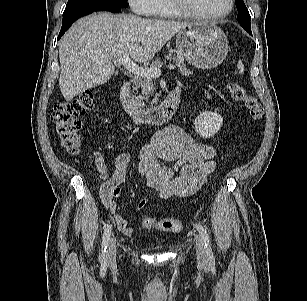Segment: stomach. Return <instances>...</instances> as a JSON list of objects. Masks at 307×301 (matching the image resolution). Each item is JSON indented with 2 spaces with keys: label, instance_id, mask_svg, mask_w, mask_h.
I'll use <instances>...</instances> for the list:
<instances>
[{
  "label": "stomach",
  "instance_id": "obj_1",
  "mask_svg": "<svg viewBox=\"0 0 307 301\" xmlns=\"http://www.w3.org/2000/svg\"><path fill=\"white\" fill-rule=\"evenodd\" d=\"M176 47L191 65L201 69L218 66L228 52V39L215 25L193 24L176 35Z\"/></svg>",
  "mask_w": 307,
  "mask_h": 301
}]
</instances>
